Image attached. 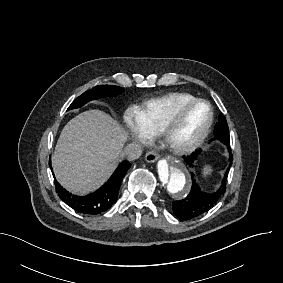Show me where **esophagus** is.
<instances>
[{"mask_svg":"<svg viewBox=\"0 0 283 283\" xmlns=\"http://www.w3.org/2000/svg\"><path fill=\"white\" fill-rule=\"evenodd\" d=\"M159 159V154L155 151H150L146 154L145 156V160L148 162V163H154L156 162L157 160Z\"/></svg>","mask_w":283,"mask_h":283,"instance_id":"obj_1","label":"esophagus"}]
</instances>
